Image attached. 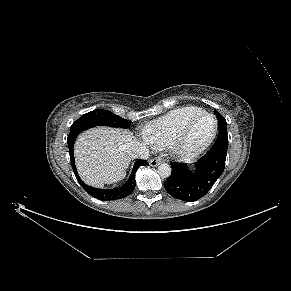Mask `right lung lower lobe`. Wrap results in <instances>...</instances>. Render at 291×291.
I'll use <instances>...</instances> for the list:
<instances>
[{"label": "right lung lower lobe", "mask_w": 291, "mask_h": 291, "mask_svg": "<svg viewBox=\"0 0 291 291\" xmlns=\"http://www.w3.org/2000/svg\"><path fill=\"white\" fill-rule=\"evenodd\" d=\"M90 127H93V126H89V125L79 126V125H75L73 123L71 126V131H70L68 138H67L71 166H72V169L75 173L77 180L79 181L81 186L85 189V191H87V193H89L93 197H96L97 199L109 201V200H116V199H121V198L127 197L135 189V186H136L135 173H136V171L138 170L139 167L148 165V162L145 160H137L134 164V167H133V170L131 172L129 179L127 180V182L123 186H121L119 188H116L113 190H101V189L93 188L91 186L86 185L80 179V177L77 173V170L75 167L74 151L73 150H74V142H75L78 134L81 131H83L87 128H90Z\"/></svg>", "instance_id": "1"}]
</instances>
